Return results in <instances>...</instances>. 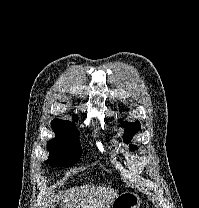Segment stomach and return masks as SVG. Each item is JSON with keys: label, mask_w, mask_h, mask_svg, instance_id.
Returning a JSON list of instances; mask_svg holds the SVG:
<instances>
[{"label": "stomach", "mask_w": 199, "mask_h": 208, "mask_svg": "<svg viewBox=\"0 0 199 208\" xmlns=\"http://www.w3.org/2000/svg\"><path fill=\"white\" fill-rule=\"evenodd\" d=\"M140 197L134 192H123L112 202L110 208H139Z\"/></svg>", "instance_id": "1"}]
</instances>
